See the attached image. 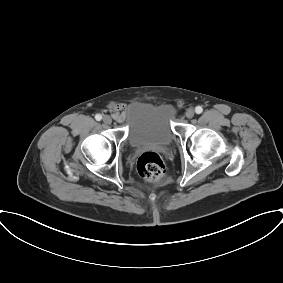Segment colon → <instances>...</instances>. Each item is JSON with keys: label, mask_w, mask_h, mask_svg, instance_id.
<instances>
[{"label": "colon", "mask_w": 283, "mask_h": 283, "mask_svg": "<svg viewBox=\"0 0 283 283\" xmlns=\"http://www.w3.org/2000/svg\"><path fill=\"white\" fill-rule=\"evenodd\" d=\"M137 169L140 176L149 182H159L166 174L161 157L153 151L144 152L138 159Z\"/></svg>", "instance_id": "5ec220e1"}]
</instances>
